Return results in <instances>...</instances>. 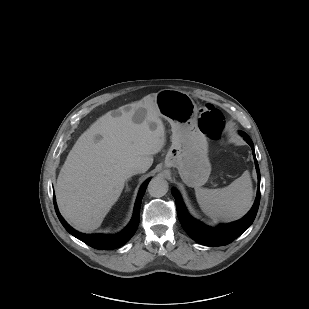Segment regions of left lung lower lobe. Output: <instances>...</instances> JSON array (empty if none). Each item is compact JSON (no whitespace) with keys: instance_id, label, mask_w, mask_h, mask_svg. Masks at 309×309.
<instances>
[{"instance_id":"0a47b994","label":"left lung lower lobe","mask_w":309,"mask_h":309,"mask_svg":"<svg viewBox=\"0 0 309 309\" xmlns=\"http://www.w3.org/2000/svg\"><path fill=\"white\" fill-rule=\"evenodd\" d=\"M240 134L244 136L245 140L252 148V153L254 156L257 174H258V180H259V187L257 190V197L255 200V203L252 209L249 211V213L246 216L230 224L220 225L217 228H209L201 224L200 222L194 220L188 214L179 193L176 190L172 191V194L176 200L177 215H178V218H179V221L182 227L193 240H195L196 242L202 245L223 246V245H227L231 243L233 240L239 237L242 233H244L250 227V225L253 223L256 217L259 203H260V171H259V166H258L256 156H255L254 145H253L252 140L245 133L240 132Z\"/></svg>"}]
</instances>
